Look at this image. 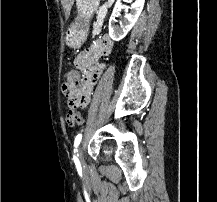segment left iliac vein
I'll use <instances>...</instances> for the list:
<instances>
[{"instance_id":"4c4485c4","label":"left iliac vein","mask_w":217,"mask_h":202,"mask_svg":"<svg viewBox=\"0 0 217 202\" xmlns=\"http://www.w3.org/2000/svg\"><path fill=\"white\" fill-rule=\"evenodd\" d=\"M77 155H78V161L81 165L84 164V158H83V153H82V147L79 146V148L77 149Z\"/></svg>"}]
</instances>
